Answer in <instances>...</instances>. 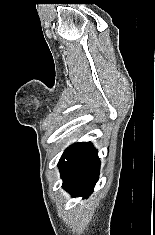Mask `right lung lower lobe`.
I'll use <instances>...</instances> for the list:
<instances>
[{"label": "right lung lower lobe", "instance_id": "98d812e1", "mask_svg": "<svg viewBox=\"0 0 155 235\" xmlns=\"http://www.w3.org/2000/svg\"><path fill=\"white\" fill-rule=\"evenodd\" d=\"M58 167L63 179L62 187L72 196L87 198L99 177L100 160L90 142L76 143L62 155Z\"/></svg>", "mask_w": 155, "mask_h": 235}]
</instances>
